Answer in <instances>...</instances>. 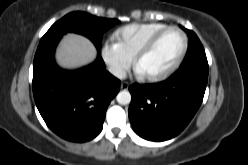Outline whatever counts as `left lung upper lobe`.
<instances>
[{"label":"left lung upper lobe","instance_id":"left-lung-upper-lobe-1","mask_svg":"<svg viewBox=\"0 0 248 165\" xmlns=\"http://www.w3.org/2000/svg\"><path fill=\"white\" fill-rule=\"evenodd\" d=\"M180 27L188 35V50H187V54H186V57H185L183 63H186V62H188V61H190L196 57H199V56H206L203 45L201 44L197 35L191 30H188L182 26H180Z\"/></svg>","mask_w":248,"mask_h":165}]
</instances>
